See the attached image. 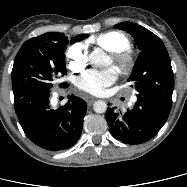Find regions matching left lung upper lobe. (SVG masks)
Instances as JSON below:
<instances>
[{
	"label": "left lung upper lobe",
	"mask_w": 187,
	"mask_h": 187,
	"mask_svg": "<svg viewBox=\"0 0 187 187\" xmlns=\"http://www.w3.org/2000/svg\"><path fill=\"white\" fill-rule=\"evenodd\" d=\"M131 34L141 50L132 74L137 96L172 103L174 76L168 52L162 40L141 25L122 22L115 25Z\"/></svg>",
	"instance_id": "obj_1"
}]
</instances>
